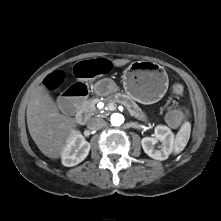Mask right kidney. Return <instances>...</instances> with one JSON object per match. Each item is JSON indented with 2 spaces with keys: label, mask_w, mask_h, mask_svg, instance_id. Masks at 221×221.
<instances>
[{
  "label": "right kidney",
  "mask_w": 221,
  "mask_h": 221,
  "mask_svg": "<svg viewBox=\"0 0 221 221\" xmlns=\"http://www.w3.org/2000/svg\"><path fill=\"white\" fill-rule=\"evenodd\" d=\"M90 143L78 132H73L61 153L62 164L72 167L82 162L90 151Z\"/></svg>",
  "instance_id": "obj_1"
}]
</instances>
